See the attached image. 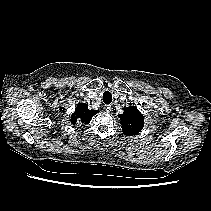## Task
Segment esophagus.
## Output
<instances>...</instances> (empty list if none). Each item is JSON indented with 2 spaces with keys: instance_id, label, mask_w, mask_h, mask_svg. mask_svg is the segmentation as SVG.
Listing matches in <instances>:
<instances>
[{
  "instance_id": "obj_1",
  "label": "esophagus",
  "mask_w": 211,
  "mask_h": 211,
  "mask_svg": "<svg viewBox=\"0 0 211 211\" xmlns=\"http://www.w3.org/2000/svg\"><path fill=\"white\" fill-rule=\"evenodd\" d=\"M104 109L106 112H110L111 111V106L110 105H105Z\"/></svg>"
}]
</instances>
